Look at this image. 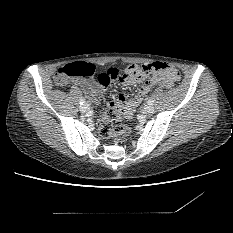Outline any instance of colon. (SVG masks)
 <instances>
[{"instance_id":"obj_1","label":"colon","mask_w":233,"mask_h":233,"mask_svg":"<svg viewBox=\"0 0 233 233\" xmlns=\"http://www.w3.org/2000/svg\"><path fill=\"white\" fill-rule=\"evenodd\" d=\"M158 72L173 73L171 65L157 62L154 64H130L124 70V77L151 81ZM96 73V67L88 61H78L60 67L54 76V82L58 86L67 85L74 78H90ZM133 113L132 107H127L121 112L107 110L98 119V131L104 138L110 136L124 137L129 134V127L123 121ZM120 124L113 126L112 122Z\"/></svg>"}]
</instances>
